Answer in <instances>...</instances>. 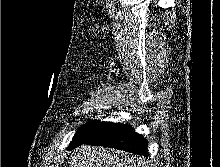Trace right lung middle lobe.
Wrapping results in <instances>:
<instances>
[{"mask_svg": "<svg viewBox=\"0 0 220 167\" xmlns=\"http://www.w3.org/2000/svg\"><path fill=\"white\" fill-rule=\"evenodd\" d=\"M100 124V122L92 121L81 127L75 134L67 150L75 149L76 147L81 145Z\"/></svg>", "mask_w": 220, "mask_h": 167, "instance_id": "right-lung-middle-lobe-1", "label": "right lung middle lobe"}]
</instances>
